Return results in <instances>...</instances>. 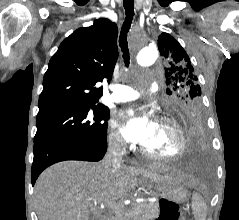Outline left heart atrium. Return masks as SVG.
I'll list each match as a JSON object with an SVG mask.
<instances>
[{"mask_svg": "<svg viewBox=\"0 0 239 220\" xmlns=\"http://www.w3.org/2000/svg\"><path fill=\"white\" fill-rule=\"evenodd\" d=\"M152 125L153 121L148 116L129 112L121 133L129 142L144 144L151 134Z\"/></svg>", "mask_w": 239, "mask_h": 220, "instance_id": "39dd6f15", "label": "left heart atrium"}]
</instances>
